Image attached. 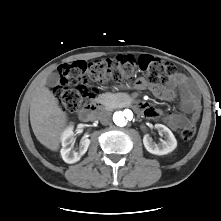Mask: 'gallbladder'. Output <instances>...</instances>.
Returning <instances> with one entry per match:
<instances>
[{
  "instance_id": "gallbladder-1",
  "label": "gallbladder",
  "mask_w": 221,
  "mask_h": 221,
  "mask_svg": "<svg viewBox=\"0 0 221 221\" xmlns=\"http://www.w3.org/2000/svg\"><path fill=\"white\" fill-rule=\"evenodd\" d=\"M59 81V76L57 73H51L48 77H47V85L49 86H54L58 83Z\"/></svg>"
}]
</instances>
